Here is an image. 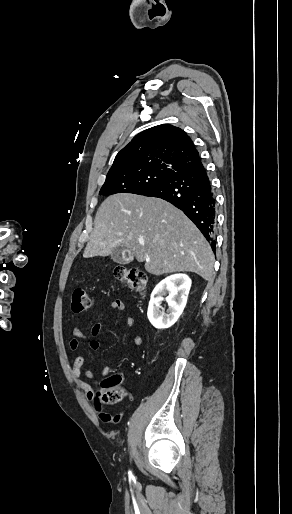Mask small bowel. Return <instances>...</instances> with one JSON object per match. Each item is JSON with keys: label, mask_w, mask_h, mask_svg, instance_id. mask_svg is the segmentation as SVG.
Instances as JSON below:
<instances>
[{"label": "small bowel", "mask_w": 292, "mask_h": 514, "mask_svg": "<svg viewBox=\"0 0 292 514\" xmlns=\"http://www.w3.org/2000/svg\"><path fill=\"white\" fill-rule=\"evenodd\" d=\"M109 308L111 310L123 312L125 310V304L121 299L115 298L112 299L109 302ZM126 324L129 327H133L135 325V320L132 316H128L126 318ZM102 329V325L99 322H96L93 324L91 328L90 335H87L84 333L79 327H73L72 329V335L73 338L69 341V348L72 351L77 350L80 347L81 340L83 339H90L89 340V346L92 350H98L101 346V343L98 339V335L100 334ZM132 343L134 346H140L142 344V339L140 336H134L132 338ZM85 364V358L82 355L76 356V358L73 361L72 367H71V375L75 382V384L82 389L85 392V395L87 397H90L92 394L91 387L87 381H85L82 377H85L86 379H94L96 377L95 373L90 369L84 368ZM102 374L106 375L108 373V366L106 364H103L101 366ZM129 400L131 402H134L136 400V397L134 395H131L129 397Z\"/></svg>", "instance_id": "c3829d8e"}]
</instances>
